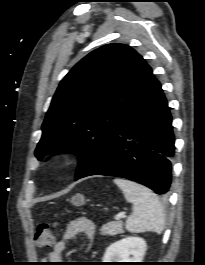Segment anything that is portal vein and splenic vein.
Listing matches in <instances>:
<instances>
[{
	"mask_svg": "<svg viewBox=\"0 0 205 265\" xmlns=\"http://www.w3.org/2000/svg\"><path fill=\"white\" fill-rule=\"evenodd\" d=\"M125 214H119L115 217L116 220H120L121 218H124Z\"/></svg>",
	"mask_w": 205,
	"mask_h": 265,
	"instance_id": "18ae733b",
	"label": "portal vein and splenic vein"
}]
</instances>
